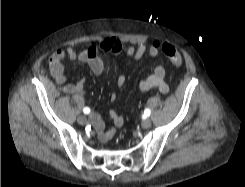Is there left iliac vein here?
Here are the masks:
<instances>
[{
	"label": "left iliac vein",
	"instance_id": "4c4485c4",
	"mask_svg": "<svg viewBox=\"0 0 245 187\" xmlns=\"http://www.w3.org/2000/svg\"><path fill=\"white\" fill-rule=\"evenodd\" d=\"M152 122L149 118H146L144 119L142 122H141V126L145 129L149 128L151 126Z\"/></svg>",
	"mask_w": 245,
	"mask_h": 187
}]
</instances>
